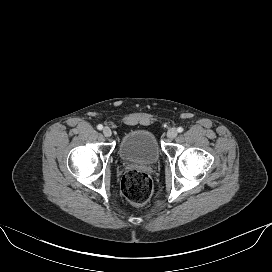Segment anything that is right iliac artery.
Segmentation results:
<instances>
[{
  "instance_id": "82829eb1",
  "label": "right iliac artery",
  "mask_w": 272,
  "mask_h": 272,
  "mask_svg": "<svg viewBox=\"0 0 272 272\" xmlns=\"http://www.w3.org/2000/svg\"><path fill=\"white\" fill-rule=\"evenodd\" d=\"M97 129H98V130H102V129H103V125L99 124V125L97 126Z\"/></svg>"
}]
</instances>
